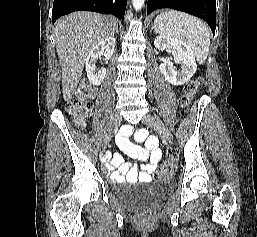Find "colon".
<instances>
[{"mask_svg": "<svg viewBox=\"0 0 257 237\" xmlns=\"http://www.w3.org/2000/svg\"><path fill=\"white\" fill-rule=\"evenodd\" d=\"M202 84L200 78H195L187 82L183 94L179 99L182 107H188L194 95L198 92ZM93 97L92 88L86 83L81 82L74 96L68 103L67 109L78 126H83L90 113V101ZM169 159L164 163L156 173L159 180L169 179L174 173L177 166V158L173 152H169Z\"/></svg>", "mask_w": 257, "mask_h": 237, "instance_id": "obj_1", "label": "colon"}]
</instances>
